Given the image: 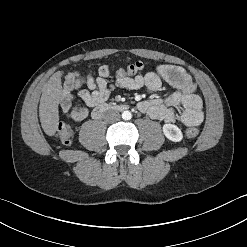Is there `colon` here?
<instances>
[{
	"label": "colon",
	"instance_id": "5ec220e1",
	"mask_svg": "<svg viewBox=\"0 0 247 247\" xmlns=\"http://www.w3.org/2000/svg\"><path fill=\"white\" fill-rule=\"evenodd\" d=\"M145 64L142 61H137L133 64H130L125 69H120L117 72L123 76H136L142 72ZM199 135V129L195 126H191L186 130V136L188 138H196ZM57 138L63 144H69L72 137V128L66 123H60L56 132Z\"/></svg>",
	"mask_w": 247,
	"mask_h": 247
}]
</instances>
